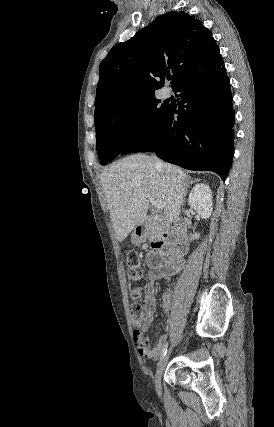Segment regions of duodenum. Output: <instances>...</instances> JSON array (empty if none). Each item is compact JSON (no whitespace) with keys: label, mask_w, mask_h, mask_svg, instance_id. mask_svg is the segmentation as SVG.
I'll use <instances>...</instances> for the list:
<instances>
[{"label":"duodenum","mask_w":274,"mask_h":427,"mask_svg":"<svg viewBox=\"0 0 274 427\" xmlns=\"http://www.w3.org/2000/svg\"><path fill=\"white\" fill-rule=\"evenodd\" d=\"M154 225L158 226L160 230L159 236L156 240V245L158 247L168 246L170 240L180 229V225L177 222L166 224L162 219L150 218L137 227V234L142 235L148 227Z\"/></svg>","instance_id":"1"}]
</instances>
